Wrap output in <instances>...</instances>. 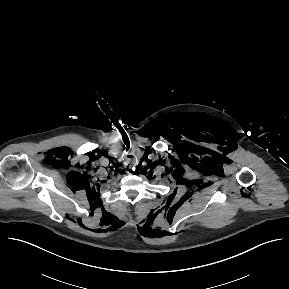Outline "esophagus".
Instances as JSON below:
<instances>
[{
	"instance_id": "34e87169",
	"label": "esophagus",
	"mask_w": 289,
	"mask_h": 289,
	"mask_svg": "<svg viewBox=\"0 0 289 289\" xmlns=\"http://www.w3.org/2000/svg\"><path fill=\"white\" fill-rule=\"evenodd\" d=\"M128 174H131V169H129V171L127 172Z\"/></svg>"
}]
</instances>
